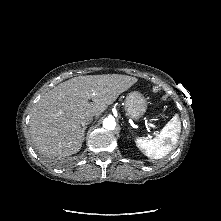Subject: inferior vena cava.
Here are the masks:
<instances>
[{
	"instance_id": "602c4592",
	"label": "inferior vena cava",
	"mask_w": 221,
	"mask_h": 221,
	"mask_svg": "<svg viewBox=\"0 0 221 221\" xmlns=\"http://www.w3.org/2000/svg\"><path fill=\"white\" fill-rule=\"evenodd\" d=\"M92 120H93V116L90 115V114H88V115L82 117V119H81V124H82L83 126H84V125H87V124L91 123Z\"/></svg>"
}]
</instances>
